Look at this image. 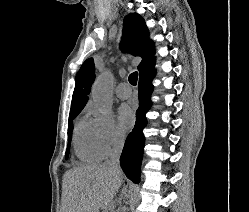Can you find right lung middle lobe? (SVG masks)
Wrapping results in <instances>:
<instances>
[{"mask_svg": "<svg viewBox=\"0 0 249 212\" xmlns=\"http://www.w3.org/2000/svg\"><path fill=\"white\" fill-rule=\"evenodd\" d=\"M82 109L79 110H71L69 115V125H68V146L65 154V158L67 159L69 156L70 145H71V137L73 131V119L81 112Z\"/></svg>", "mask_w": 249, "mask_h": 212, "instance_id": "dd1d6c3e", "label": "right lung middle lobe"}]
</instances>
